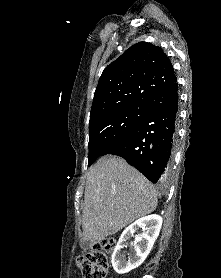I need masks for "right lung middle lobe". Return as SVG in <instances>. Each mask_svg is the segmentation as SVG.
Instances as JSON below:
<instances>
[{
  "label": "right lung middle lobe",
  "mask_w": 221,
  "mask_h": 278,
  "mask_svg": "<svg viewBox=\"0 0 221 278\" xmlns=\"http://www.w3.org/2000/svg\"><path fill=\"white\" fill-rule=\"evenodd\" d=\"M147 111L146 101H136L90 119L88 166L110 144L128 134Z\"/></svg>",
  "instance_id": "dd1d6c3e"
}]
</instances>
